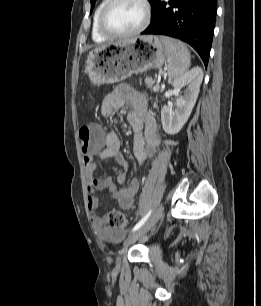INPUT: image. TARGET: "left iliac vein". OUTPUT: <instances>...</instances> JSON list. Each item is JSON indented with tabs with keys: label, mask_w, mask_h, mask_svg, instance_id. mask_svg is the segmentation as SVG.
<instances>
[{
	"label": "left iliac vein",
	"mask_w": 261,
	"mask_h": 306,
	"mask_svg": "<svg viewBox=\"0 0 261 306\" xmlns=\"http://www.w3.org/2000/svg\"><path fill=\"white\" fill-rule=\"evenodd\" d=\"M164 211V207L160 206L155 214L152 216L150 220H148L145 224H143L139 229L130 234L123 243V248L119 251V254L116 258V266L119 267L121 263V257L124 252V248L129 246L131 243L135 242L139 238H141L153 225L154 223L161 217Z\"/></svg>",
	"instance_id": "left-iliac-vein-1"
}]
</instances>
